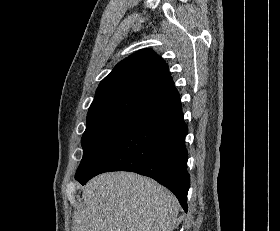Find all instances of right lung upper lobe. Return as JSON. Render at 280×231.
<instances>
[{"label":"right lung upper lobe","instance_id":"right-lung-upper-lobe-1","mask_svg":"<svg viewBox=\"0 0 280 231\" xmlns=\"http://www.w3.org/2000/svg\"><path fill=\"white\" fill-rule=\"evenodd\" d=\"M181 106L165 61L150 49L119 62L99 84L87 119H127L140 123Z\"/></svg>","mask_w":280,"mask_h":231}]
</instances>
